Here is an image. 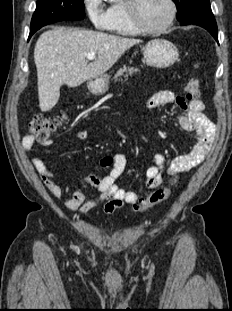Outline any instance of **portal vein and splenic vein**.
I'll return each mask as SVG.
<instances>
[{"mask_svg": "<svg viewBox=\"0 0 232 311\" xmlns=\"http://www.w3.org/2000/svg\"><path fill=\"white\" fill-rule=\"evenodd\" d=\"M96 57V53L95 52H89L87 54V59L88 60H93Z\"/></svg>", "mask_w": 232, "mask_h": 311, "instance_id": "portal-vein-and-splenic-vein-1", "label": "portal vein and splenic vein"}]
</instances>
